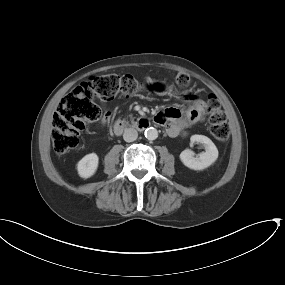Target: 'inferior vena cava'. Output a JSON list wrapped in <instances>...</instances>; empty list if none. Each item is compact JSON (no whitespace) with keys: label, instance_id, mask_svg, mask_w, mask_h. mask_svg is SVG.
Returning <instances> with one entry per match:
<instances>
[{"label":"inferior vena cava","instance_id":"1","mask_svg":"<svg viewBox=\"0 0 285 285\" xmlns=\"http://www.w3.org/2000/svg\"><path fill=\"white\" fill-rule=\"evenodd\" d=\"M137 137L138 132L134 128H128L124 131L123 138L126 142H133Z\"/></svg>","mask_w":285,"mask_h":285}]
</instances>
